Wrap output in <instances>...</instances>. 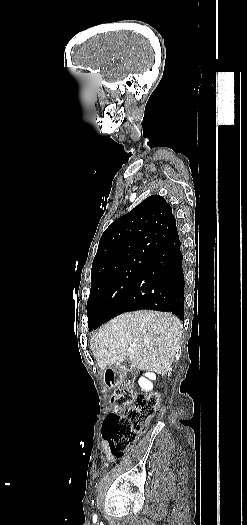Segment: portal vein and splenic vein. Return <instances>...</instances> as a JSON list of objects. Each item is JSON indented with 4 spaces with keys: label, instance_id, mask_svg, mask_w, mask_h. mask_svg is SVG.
Masks as SVG:
<instances>
[{
    "label": "portal vein and splenic vein",
    "instance_id": "1",
    "mask_svg": "<svg viewBox=\"0 0 247 525\" xmlns=\"http://www.w3.org/2000/svg\"><path fill=\"white\" fill-rule=\"evenodd\" d=\"M133 346H134V343H131L130 348H133Z\"/></svg>",
    "mask_w": 247,
    "mask_h": 525
}]
</instances>
